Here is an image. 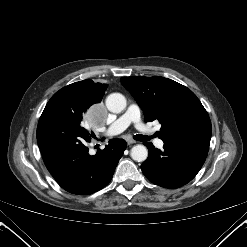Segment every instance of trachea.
I'll list each match as a JSON object with an SVG mask.
<instances>
[{
    "label": "trachea",
    "instance_id": "1",
    "mask_svg": "<svg viewBox=\"0 0 247 247\" xmlns=\"http://www.w3.org/2000/svg\"><path fill=\"white\" fill-rule=\"evenodd\" d=\"M134 139L137 141H148L150 140V137L138 134L134 136Z\"/></svg>",
    "mask_w": 247,
    "mask_h": 247
}]
</instances>
